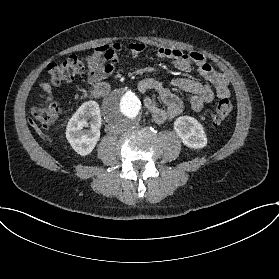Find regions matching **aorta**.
I'll return each instance as SVG.
<instances>
[{"mask_svg": "<svg viewBox=\"0 0 279 279\" xmlns=\"http://www.w3.org/2000/svg\"><path fill=\"white\" fill-rule=\"evenodd\" d=\"M141 112L140 99L127 87L114 89L103 101V115L106 122L123 130L136 126Z\"/></svg>", "mask_w": 279, "mask_h": 279, "instance_id": "762f6f07", "label": "aorta"}]
</instances>
